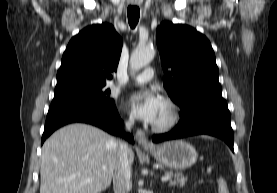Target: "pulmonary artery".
<instances>
[{"mask_svg":"<svg viewBox=\"0 0 277 193\" xmlns=\"http://www.w3.org/2000/svg\"><path fill=\"white\" fill-rule=\"evenodd\" d=\"M154 76V70L152 68H146L142 73L134 78V83L143 84L149 82Z\"/></svg>","mask_w":277,"mask_h":193,"instance_id":"1","label":"pulmonary artery"}]
</instances>
